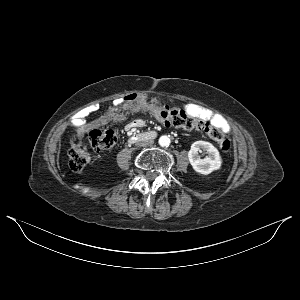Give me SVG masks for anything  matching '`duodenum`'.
<instances>
[{
  "label": "duodenum",
  "instance_id": "410a0bca",
  "mask_svg": "<svg viewBox=\"0 0 300 300\" xmlns=\"http://www.w3.org/2000/svg\"><path fill=\"white\" fill-rule=\"evenodd\" d=\"M154 137H155V132L149 131V132H144V133H141V134L133 135L131 137V140L132 141H137V140H151Z\"/></svg>",
  "mask_w": 300,
  "mask_h": 300
}]
</instances>
